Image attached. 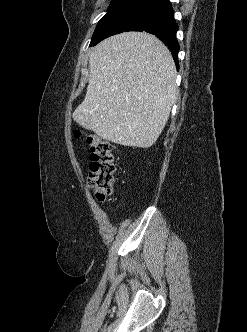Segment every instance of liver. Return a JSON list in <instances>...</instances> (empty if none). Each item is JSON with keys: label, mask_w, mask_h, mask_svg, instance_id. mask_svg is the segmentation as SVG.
<instances>
[{"label": "liver", "mask_w": 247, "mask_h": 332, "mask_svg": "<svg viewBox=\"0 0 247 332\" xmlns=\"http://www.w3.org/2000/svg\"><path fill=\"white\" fill-rule=\"evenodd\" d=\"M89 83L73 119L100 138L149 148L163 131L177 94L168 48L145 32H125L96 45Z\"/></svg>", "instance_id": "6515ba94"}]
</instances>
